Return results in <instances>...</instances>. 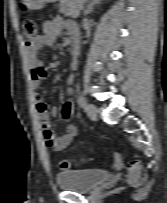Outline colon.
<instances>
[{
	"instance_id": "obj_1",
	"label": "colon",
	"mask_w": 167,
	"mask_h": 203,
	"mask_svg": "<svg viewBox=\"0 0 167 203\" xmlns=\"http://www.w3.org/2000/svg\"><path fill=\"white\" fill-rule=\"evenodd\" d=\"M23 34L25 38L27 39V42H31L32 40L36 39L39 36V25L36 20L34 19H26L23 22ZM85 160H81L79 162H71L69 160H60L58 163V166L61 170H68L71 167L79 164V163H84ZM122 160L121 156L116 153L115 154V165L116 166H121ZM140 174V164L139 161L135 160L132 161L128 166H127V181L129 183L135 182Z\"/></svg>"
}]
</instances>
